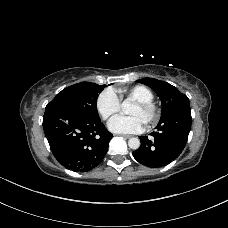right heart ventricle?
<instances>
[{"label":"right heart ventricle","instance_id":"1","mask_svg":"<svg viewBox=\"0 0 228 228\" xmlns=\"http://www.w3.org/2000/svg\"><path fill=\"white\" fill-rule=\"evenodd\" d=\"M120 97L126 96L127 99L135 101H153L154 93L146 86L136 85L126 90L116 91Z\"/></svg>","mask_w":228,"mask_h":228}]
</instances>
